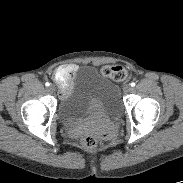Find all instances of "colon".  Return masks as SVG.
<instances>
[{
	"mask_svg": "<svg viewBox=\"0 0 183 183\" xmlns=\"http://www.w3.org/2000/svg\"><path fill=\"white\" fill-rule=\"evenodd\" d=\"M102 74L114 81H124L128 77L127 70L121 65H107L102 68ZM73 74L70 71L57 72L55 80L59 84L60 89L64 88L71 82ZM81 145L84 150L91 151L97 146V140L92 135H85L82 138Z\"/></svg>",
	"mask_w": 183,
	"mask_h": 183,
	"instance_id": "1",
	"label": "colon"
}]
</instances>
